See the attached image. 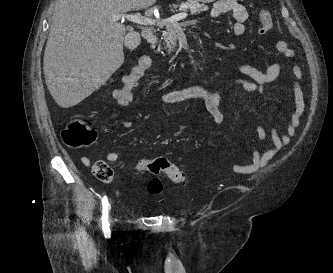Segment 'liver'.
Returning a JSON list of instances; mask_svg holds the SVG:
<instances>
[{
    "label": "liver",
    "mask_w": 333,
    "mask_h": 273,
    "mask_svg": "<svg viewBox=\"0 0 333 273\" xmlns=\"http://www.w3.org/2000/svg\"><path fill=\"white\" fill-rule=\"evenodd\" d=\"M157 0H57L43 70L47 88L70 108L105 84L123 64L125 26L114 20Z\"/></svg>",
    "instance_id": "6515ba94"
}]
</instances>
